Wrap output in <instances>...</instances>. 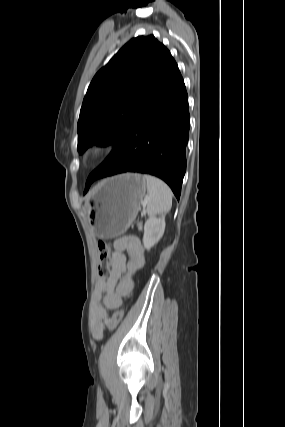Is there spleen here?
Returning a JSON list of instances; mask_svg holds the SVG:
<instances>
[{
    "mask_svg": "<svg viewBox=\"0 0 285 427\" xmlns=\"http://www.w3.org/2000/svg\"><path fill=\"white\" fill-rule=\"evenodd\" d=\"M147 181V214L150 218L169 212L172 206V192L162 180L144 175Z\"/></svg>",
    "mask_w": 285,
    "mask_h": 427,
    "instance_id": "spleen-1",
    "label": "spleen"
}]
</instances>
